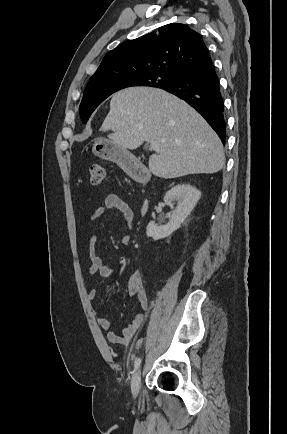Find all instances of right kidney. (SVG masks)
Masks as SVG:
<instances>
[{
  "label": "right kidney",
  "mask_w": 287,
  "mask_h": 434,
  "mask_svg": "<svg viewBox=\"0 0 287 434\" xmlns=\"http://www.w3.org/2000/svg\"><path fill=\"white\" fill-rule=\"evenodd\" d=\"M200 197L201 192L188 183L172 187L164 196L166 205H171L172 202L177 201V206L172 210L171 219L167 224L161 226H158L154 221L149 222L146 228L147 237L159 240L170 236L190 215Z\"/></svg>",
  "instance_id": "right-kidney-1"
}]
</instances>
